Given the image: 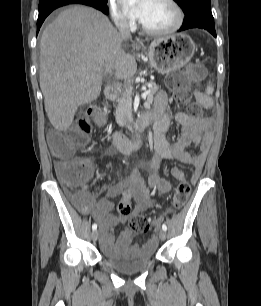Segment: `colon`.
Wrapping results in <instances>:
<instances>
[{"label": "colon", "mask_w": 261, "mask_h": 306, "mask_svg": "<svg viewBox=\"0 0 261 306\" xmlns=\"http://www.w3.org/2000/svg\"><path fill=\"white\" fill-rule=\"evenodd\" d=\"M204 77L202 65L193 64L188 68L175 72L167 77V84L179 103H186L192 97V86L199 83ZM103 112L97 106H89L77 119L76 124L64 133H58L51 141L55 156L67 163L60 172L62 182L70 187H79L89 176V160L84 157H74L76 151L85 147L92 134L93 120L100 118ZM178 184L173 194L175 207H182L188 200L190 185L183 180ZM131 212L130 198L125 196L118 206L121 216ZM129 227L135 233H147L150 230L149 220L142 215H131Z\"/></svg>", "instance_id": "colon-1"}]
</instances>
